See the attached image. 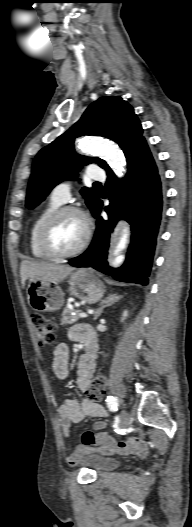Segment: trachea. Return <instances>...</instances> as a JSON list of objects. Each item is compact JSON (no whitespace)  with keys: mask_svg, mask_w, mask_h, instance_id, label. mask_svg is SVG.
<instances>
[{"mask_svg":"<svg viewBox=\"0 0 192 527\" xmlns=\"http://www.w3.org/2000/svg\"><path fill=\"white\" fill-rule=\"evenodd\" d=\"M94 185L100 186L101 183H99V182H95Z\"/></svg>","mask_w":192,"mask_h":527,"instance_id":"trachea-1","label":"trachea"}]
</instances>
